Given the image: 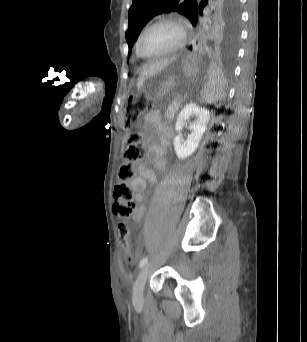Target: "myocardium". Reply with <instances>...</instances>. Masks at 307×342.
<instances>
[{
	"label": "myocardium",
	"instance_id": "1",
	"mask_svg": "<svg viewBox=\"0 0 307 342\" xmlns=\"http://www.w3.org/2000/svg\"><path fill=\"white\" fill-rule=\"evenodd\" d=\"M159 22H169V23L173 24L179 32V39L177 40V42L172 47L165 50L164 52H162L156 56H146L142 52V49H141L142 39H143L145 33L150 29V27H152L154 24L159 23ZM186 40H187L186 31H185L184 25L180 19H178L174 16H170V15H159V16L149 20L148 22H146L144 24V26L141 28L139 35H138V39H137L136 50H137L138 55L141 58H143L144 60L153 61V60H158V59L164 58L166 56H169V55L176 53L177 51L181 50L185 46Z\"/></svg>",
	"mask_w": 307,
	"mask_h": 342
}]
</instances>
